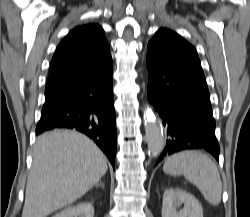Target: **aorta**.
Masks as SVG:
<instances>
[{
	"label": "aorta",
	"instance_id": "obj_1",
	"mask_svg": "<svg viewBox=\"0 0 250 217\" xmlns=\"http://www.w3.org/2000/svg\"><path fill=\"white\" fill-rule=\"evenodd\" d=\"M144 127L149 154L156 157L163 151L165 140L162 125L158 120H156L154 114L150 110L145 111Z\"/></svg>",
	"mask_w": 250,
	"mask_h": 217
}]
</instances>
